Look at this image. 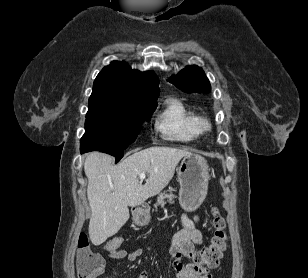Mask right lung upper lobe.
<instances>
[{"label": "right lung upper lobe", "instance_id": "1", "mask_svg": "<svg viewBox=\"0 0 308 278\" xmlns=\"http://www.w3.org/2000/svg\"><path fill=\"white\" fill-rule=\"evenodd\" d=\"M157 77L132 70L126 63L112 62L96 77L86 118L127 116L157 102Z\"/></svg>", "mask_w": 308, "mask_h": 278}]
</instances>
